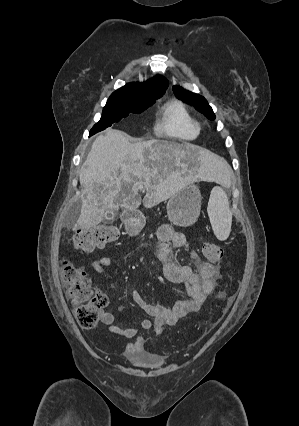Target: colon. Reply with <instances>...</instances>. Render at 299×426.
I'll list each match as a JSON object with an SVG mask.
<instances>
[{"label":"colon","instance_id":"1","mask_svg":"<svg viewBox=\"0 0 299 426\" xmlns=\"http://www.w3.org/2000/svg\"><path fill=\"white\" fill-rule=\"evenodd\" d=\"M118 236L119 232L113 226H97L77 231L72 244L79 252H91L115 241ZM203 254L209 261L219 263L223 260L224 250L214 243H206ZM62 280L66 296L73 303L78 324L84 329L95 327L99 312L106 305L103 293L92 286L81 268L69 261L63 262ZM221 299L224 300L225 296L222 295Z\"/></svg>","mask_w":299,"mask_h":426}]
</instances>
